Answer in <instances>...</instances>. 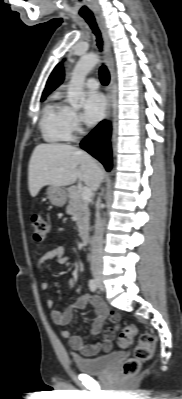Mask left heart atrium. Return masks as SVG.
<instances>
[{"label": "left heart atrium", "instance_id": "39dd6f15", "mask_svg": "<svg viewBox=\"0 0 182 399\" xmlns=\"http://www.w3.org/2000/svg\"><path fill=\"white\" fill-rule=\"evenodd\" d=\"M106 110L105 97L99 92L87 94L84 102V117L89 122L99 121Z\"/></svg>", "mask_w": 182, "mask_h": 399}]
</instances>
